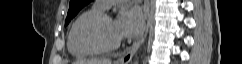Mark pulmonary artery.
<instances>
[{"label": "pulmonary artery", "mask_w": 242, "mask_h": 64, "mask_svg": "<svg viewBox=\"0 0 242 64\" xmlns=\"http://www.w3.org/2000/svg\"><path fill=\"white\" fill-rule=\"evenodd\" d=\"M124 1H126V0H97L95 2V5L101 9L105 10V9H108L111 5H113L115 3H120V2H124Z\"/></svg>", "instance_id": "pulmonary-artery-1"}]
</instances>
